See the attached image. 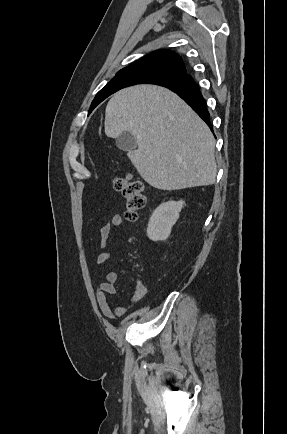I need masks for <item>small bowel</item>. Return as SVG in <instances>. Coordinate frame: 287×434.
Returning a JSON list of instances; mask_svg holds the SVG:
<instances>
[{"instance_id":"c3829d8e","label":"small bowel","mask_w":287,"mask_h":434,"mask_svg":"<svg viewBox=\"0 0 287 434\" xmlns=\"http://www.w3.org/2000/svg\"><path fill=\"white\" fill-rule=\"evenodd\" d=\"M124 225V219L121 215L116 214L107 219L99 231V244L103 251L97 256V264L103 265L110 258V253L105 249L107 241L113 230L121 228ZM119 280V275L115 271H108L105 274V280L97 279L95 281V293L98 307L106 319L114 320L117 317L124 316L128 308L126 306L112 307L108 296L116 293L115 283ZM147 293L145 284L138 280L135 282L134 291L130 297V303H136L142 300Z\"/></svg>"}]
</instances>
